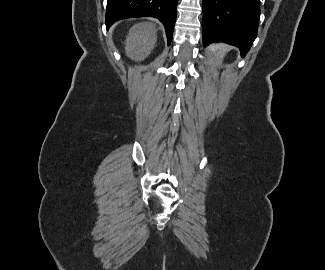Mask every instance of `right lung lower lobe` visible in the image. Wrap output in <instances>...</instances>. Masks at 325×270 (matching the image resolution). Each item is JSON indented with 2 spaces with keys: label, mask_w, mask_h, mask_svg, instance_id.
<instances>
[{
  "label": "right lung lower lobe",
  "mask_w": 325,
  "mask_h": 270,
  "mask_svg": "<svg viewBox=\"0 0 325 270\" xmlns=\"http://www.w3.org/2000/svg\"><path fill=\"white\" fill-rule=\"evenodd\" d=\"M178 0H108L106 27L114 22L132 17H154L159 19L166 30L170 44L176 20Z\"/></svg>",
  "instance_id": "98d812e1"
}]
</instances>
